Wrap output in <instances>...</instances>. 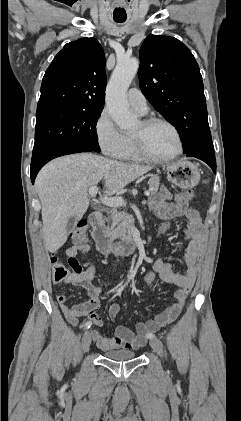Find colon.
<instances>
[{
  "label": "colon",
  "mask_w": 241,
  "mask_h": 421,
  "mask_svg": "<svg viewBox=\"0 0 241 421\" xmlns=\"http://www.w3.org/2000/svg\"><path fill=\"white\" fill-rule=\"evenodd\" d=\"M193 198V193L191 191H186L179 193L175 196V201L178 205L187 206ZM170 222L168 219L163 220L157 230V237H163L169 229ZM87 231H88V223L86 221H80L75 229L71 233V239L76 244H84L87 242ZM53 264V277L55 282H62L67 280L71 274L79 273L82 270V267L76 260V258L69 257L68 258V266L71 268L72 272L68 269V267L57 260V258L53 257L51 259ZM156 273L152 270L146 272L143 277L141 284L139 286V290L144 289L145 287L151 285L155 280Z\"/></svg>",
  "instance_id": "obj_1"
}]
</instances>
